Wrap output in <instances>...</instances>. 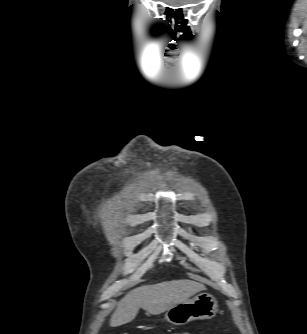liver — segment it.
I'll use <instances>...</instances> for the list:
<instances>
[{"instance_id":"6515ba94","label":"liver","mask_w":307,"mask_h":334,"mask_svg":"<svg viewBox=\"0 0 307 334\" xmlns=\"http://www.w3.org/2000/svg\"><path fill=\"white\" fill-rule=\"evenodd\" d=\"M203 290H206L203 284L187 279L135 288L119 301L111 316L110 326L118 327L129 323L140 308L152 315L163 313Z\"/></svg>"}]
</instances>
